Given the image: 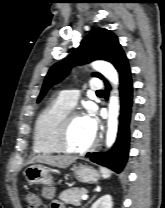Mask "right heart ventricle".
Segmentation results:
<instances>
[{"label": "right heart ventricle", "instance_id": "obj_1", "mask_svg": "<svg viewBox=\"0 0 165 208\" xmlns=\"http://www.w3.org/2000/svg\"><path fill=\"white\" fill-rule=\"evenodd\" d=\"M71 108L58 99L48 104L38 115L33 131V149L38 154L60 153L56 135L60 122Z\"/></svg>", "mask_w": 165, "mask_h": 208}]
</instances>
